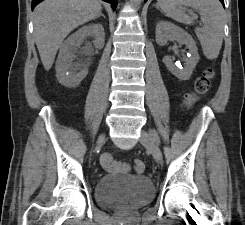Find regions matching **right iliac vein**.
<instances>
[{
	"label": "right iliac vein",
	"mask_w": 245,
	"mask_h": 225,
	"mask_svg": "<svg viewBox=\"0 0 245 225\" xmlns=\"http://www.w3.org/2000/svg\"><path fill=\"white\" fill-rule=\"evenodd\" d=\"M104 140H105V135H101V136L98 138V144H101Z\"/></svg>",
	"instance_id": "obj_1"
}]
</instances>
